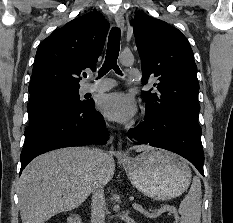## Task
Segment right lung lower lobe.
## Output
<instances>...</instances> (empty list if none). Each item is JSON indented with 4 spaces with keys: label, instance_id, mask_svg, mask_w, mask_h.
Listing matches in <instances>:
<instances>
[{
    "label": "right lung lower lobe",
    "instance_id": "right-lung-lower-lobe-1",
    "mask_svg": "<svg viewBox=\"0 0 233 223\" xmlns=\"http://www.w3.org/2000/svg\"><path fill=\"white\" fill-rule=\"evenodd\" d=\"M83 107L38 120L25 130L21 170L36 156L53 149L87 144H105L108 132L102 115L87 100Z\"/></svg>",
    "mask_w": 233,
    "mask_h": 223
}]
</instances>
